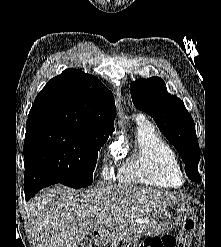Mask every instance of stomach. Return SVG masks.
Returning <instances> with one entry per match:
<instances>
[{"mask_svg": "<svg viewBox=\"0 0 221 247\" xmlns=\"http://www.w3.org/2000/svg\"><path fill=\"white\" fill-rule=\"evenodd\" d=\"M192 211L190 203L181 197L170 200L165 206L157 209L149 218V224L145 230L148 235H157L169 231L178 226ZM141 232H132L129 236L122 240L137 242L141 238ZM101 240L104 243L118 238V236L110 237L107 232H101ZM121 240V241H122Z\"/></svg>", "mask_w": 221, "mask_h": 247, "instance_id": "obj_1", "label": "stomach"}]
</instances>
